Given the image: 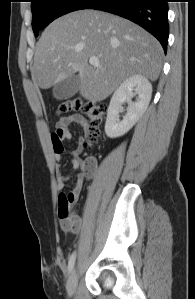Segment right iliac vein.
Segmentation results:
<instances>
[{
	"label": "right iliac vein",
	"mask_w": 195,
	"mask_h": 299,
	"mask_svg": "<svg viewBox=\"0 0 195 299\" xmlns=\"http://www.w3.org/2000/svg\"><path fill=\"white\" fill-rule=\"evenodd\" d=\"M77 278H78V274L77 271L74 269L71 272L69 279L67 281V292L70 296L74 295V293L76 292Z\"/></svg>",
	"instance_id": "63e3f726"
}]
</instances>
